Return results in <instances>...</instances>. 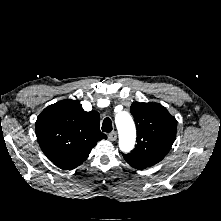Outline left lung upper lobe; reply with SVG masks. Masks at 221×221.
Returning <instances> with one entry per match:
<instances>
[{
  "mask_svg": "<svg viewBox=\"0 0 221 221\" xmlns=\"http://www.w3.org/2000/svg\"><path fill=\"white\" fill-rule=\"evenodd\" d=\"M130 112L137 128V145L129 154H123L129 165L143 169L160 162L170 150L177 129L176 119L158 103L131 105Z\"/></svg>",
  "mask_w": 221,
  "mask_h": 221,
  "instance_id": "obj_1",
  "label": "left lung upper lobe"
}]
</instances>
